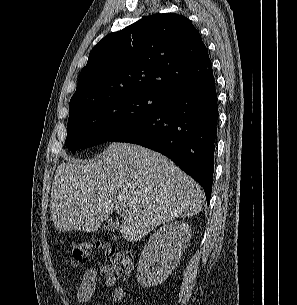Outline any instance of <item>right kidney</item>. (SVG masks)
<instances>
[{
  "label": "right kidney",
  "mask_w": 297,
  "mask_h": 305,
  "mask_svg": "<svg viewBox=\"0 0 297 305\" xmlns=\"http://www.w3.org/2000/svg\"><path fill=\"white\" fill-rule=\"evenodd\" d=\"M192 236L183 221L167 223L145 245L137 266V281L145 288L161 284L175 269ZM158 266H154L155 263Z\"/></svg>",
  "instance_id": "1"
}]
</instances>
